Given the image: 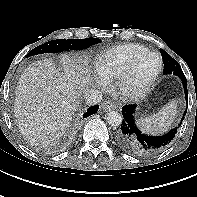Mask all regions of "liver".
<instances>
[{"instance_id": "6515ba94", "label": "liver", "mask_w": 197, "mask_h": 197, "mask_svg": "<svg viewBox=\"0 0 197 197\" xmlns=\"http://www.w3.org/2000/svg\"><path fill=\"white\" fill-rule=\"evenodd\" d=\"M60 63L62 67L51 58L32 63L17 83L14 116L22 135L34 145L58 142L92 80L87 59L64 54Z\"/></svg>"}]
</instances>
